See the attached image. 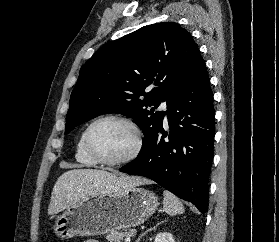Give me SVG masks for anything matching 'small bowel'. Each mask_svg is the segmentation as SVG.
<instances>
[{
	"label": "small bowel",
	"instance_id": "obj_1",
	"mask_svg": "<svg viewBox=\"0 0 279 242\" xmlns=\"http://www.w3.org/2000/svg\"><path fill=\"white\" fill-rule=\"evenodd\" d=\"M84 242H99V241L94 240V239H89V240H86V241H84Z\"/></svg>",
	"mask_w": 279,
	"mask_h": 242
}]
</instances>
